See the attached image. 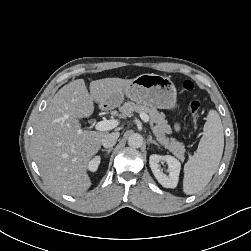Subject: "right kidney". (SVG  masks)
<instances>
[{"label": "right kidney", "mask_w": 251, "mask_h": 251, "mask_svg": "<svg viewBox=\"0 0 251 251\" xmlns=\"http://www.w3.org/2000/svg\"><path fill=\"white\" fill-rule=\"evenodd\" d=\"M100 164V157H95L88 163V169L92 172H95L98 169Z\"/></svg>", "instance_id": "right-kidney-1"}]
</instances>
